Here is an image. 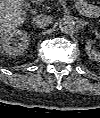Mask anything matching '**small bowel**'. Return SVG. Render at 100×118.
I'll return each mask as SVG.
<instances>
[{
    "label": "small bowel",
    "instance_id": "obj_1",
    "mask_svg": "<svg viewBox=\"0 0 100 118\" xmlns=\"http://www.w3.org/2000/svg\"><path fill=\"white\" fill-rule=\"evenodd\" d=\"M75 6L78 11L86 15H94L97 6L87 2L86 0H75Z\"/></svg>",
    "mask_w": 100,
    "mask_h": 118
}]
</instances>
